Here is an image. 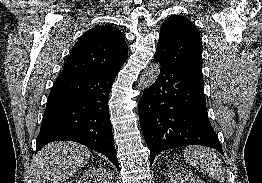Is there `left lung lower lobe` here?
I'll return each instance as SVG.
<instances>
[{"label":"left lung lower lobe","instance_id":"1","mask_svg":"<svg viewBox=\"0 0 262 183\" xmlns=\"http://www.w3.org/2000/svg\"><path fill=\"white\" fill-rule=\"evenodd\" d=\"M154 58L160 62V75L144 90L138 106L150 164L160 152L187 145L207 146L223 154L208 119L203 79Z\"/></svg>","mask_w":262,"mask_h":183}]
</instances>
